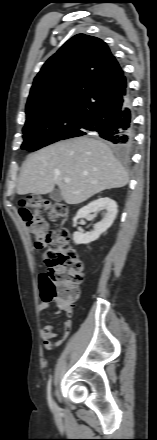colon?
<instances>
[{
	"instance_id": "colon-1",
	"label": "colon",
	"mask_w": 157,
	"mask_h": 440,
	"mask_svg": "<svg viewBox=\"0 0 157 440\" xmlns=\"http://www.w3.org/2000/svg\"><path fill=\"white\" fill-rule=\"evenodd\" d=\"M41 208L47 209L53 220L64 216L67 208L60 203L48 204L33 198L21 207L20 215L34 238L35 247L40 250L48 246L43 255L48 269L39 278L41 297L53 303L58 312L70 316L83 281L82 263L69 245L68 232L49 229L47 221L39 214Z\"/></svg>"
}]
</instances>
